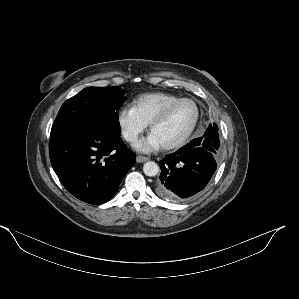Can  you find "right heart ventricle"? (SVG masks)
I'll return each instance as SVG.
<instances>
[{
  "label": "right heart ventricle",
  "instance_id": "right-heart-ventricle-1",
  "mask_svg": "<svg viewBox=\"0 0 299 299\" xmlns=\"http://www.w3.org/2000/svg\"><path fill=\"white\" fill-rule=\"evenodd\" d=\"M179 98L167 92H150L136 97L131 107L146 124H149L167 104Z\"/></svg>",
  "mask_w": 299,
  "mask_h": 299
}]
</instances>
